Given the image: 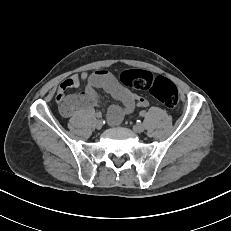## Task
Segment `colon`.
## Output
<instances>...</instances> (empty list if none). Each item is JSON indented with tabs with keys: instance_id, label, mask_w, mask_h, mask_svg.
<instances>
[{
	"instance_id": "1",
	"label": "colon",
	"mask_w": 231,
	"mask_h": 231,
	"mask_svg": "<svg viewBox=\"0 0 231 231\" xmlns=\"http://www.w3.org/2000/svg\"><path fill=\"white\" fill-rule=\"evenodd\" d=\"M122 84L137 90H148L159 102L169 109L179 106V94L176 86L168 79L154 77L145 70H128L120 74Z\"/></svg>"
}]
</instances>
